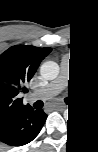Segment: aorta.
I'll use <instances>...</instances> for the list:
<instances>
[{"label":"aorta","instance_id":"1","mask_svg":"<svg viewBox=\"0 0 98 152\" xmlns=\"http://www.w3.org/2000/svg\"><path fill=\"white\" fill-rule=\"evenodd\" d=\"M40 74L44 79L53 80L59 74V66L54 61H47L40 66ZM64 117L68 118V109L64 111Z\"/></svg>","mask_w":98,"mask_h":152}]
</instances>
